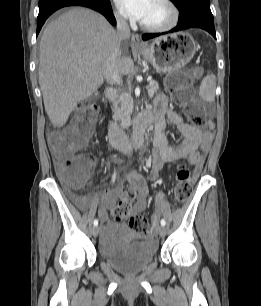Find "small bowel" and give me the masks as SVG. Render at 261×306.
I'll use <instances>...</instances> for the list:
<instances>
[{
	"instance_id": "small-bowel-1",
	"label": "small bowel",
	"mask_w": 261,
	"mask_h": 306,
	"mask_svg": "<svg viewBox=\"0 0 261 306\" xmlns=\"http://www.w3.org/2000/svg\"><path fill=\"white\" fill-rule=\"evenodd\" d=\"M167 97L159 94L155 99L153 116L155 118V131L153 141V154L150 162L151 180L155 181L157 172L164 163L177 160H185L195 168V177L201 172L206 157L213 142V124L210 122L204 127L192 125L186 122L180 115L167 110ZM168 125H173L182 136V140L172 146L168 143L165 131ZM62 168L61 163H57V170ZM93 160L91 159V170ZM127 183L136 193V202L132 208V214H138L145 210L147 205L148 187L144 178L136 171L128 175ZM119 187L106 189L100 194L98 214L105 225L106 236L104 242L111 241L109 232L114 229L108 211L114 207L119 197ZM78 203L87 207L91 205V198L87 195L77 197Z\"/></svg>"
}]
</instances>
